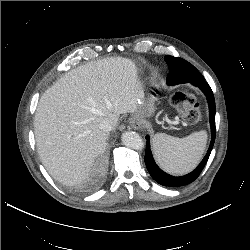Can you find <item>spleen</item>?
Segmentation results:
<instances>
[{"label":"spleen","instance_id":"1","mask_svg":"<svg viewBox=\"0 0 250 250\" xmlns=\"http://www.w3.org/2000/svg\"><path fill=\"white\" fill-rule=\"evenodd\" d=\"M207 143L202 130L185 138L157 133L152 139L153 153L159 166L171 174H184L199 163Z\"/></svg>","mask_w":250,"mask_h":250}]
</instances>
